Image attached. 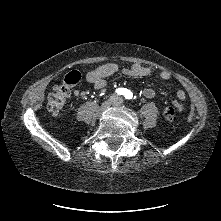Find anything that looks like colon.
I'll return each mask as SVG.
<instances>
[{
    "label": "colon",
    "instance_id": "obj_1",
    "mask_svg": "<svg viewBox=\"0 0 221 221\" xmlns=\"http://www.w3.org/2000/svg\"><path fill=\"white\" fill-rule=\"evenodd\" d=\"M80 80V73L78 71L69 72L63 82L54 87L48 96L47 107L51 114L57 115L65 105V102L70 93V86L75 85ZM175 107H165L163 109V116L168 120H173L175 116ZM182 110V109H181ZM177 110V111H181Z\"/></svg>",
    "mask_w": 221,
    "mask_h": 221
}]
</instances>
